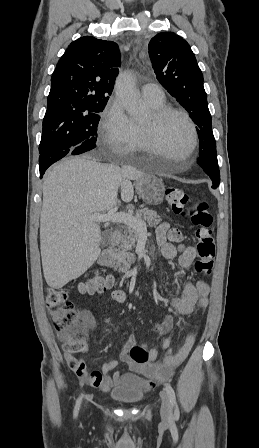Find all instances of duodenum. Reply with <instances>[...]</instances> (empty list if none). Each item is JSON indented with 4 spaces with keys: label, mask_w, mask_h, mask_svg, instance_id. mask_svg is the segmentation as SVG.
<instances>
[{
    "label": "duodenum",
    "mask_w": 259,
    "mask_h": 448,
    "mask_svg": "<svg viewBox=\"0 0 259 448\" xmlns=\"http://www.w3.org/2000/svg\"><path fill=\"white\" fill-rule=\"evenodd\" d=\"M121 236L122 233L120 230H115L112 232L109 245L102 250L98 258V263L101 266L113 269L115 271H120V265L114 258L113 249L119 243Z\"/></svg>",
    "instance_id": "duodenum-1"
}]
</instances>
